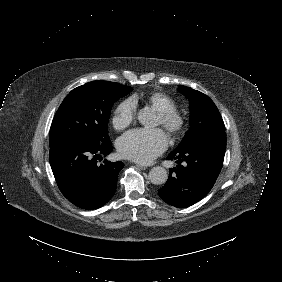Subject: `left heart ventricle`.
Here are the masks:
<instances>
[{"label": "left heart ventricle", "mask_w": 282, "mask_h": 282, "mask_svg": "<svg viewBox=\"0 0 282 282\" xmlns=\"http://www.w3.org/2000/svg\"><path fill=\"white\" fill-rule=\"evenodd\" d=\"M160 124V119L158 117V115L156 116V125Z\"/></svg>", "instance_id": "1"}]
</instances>
